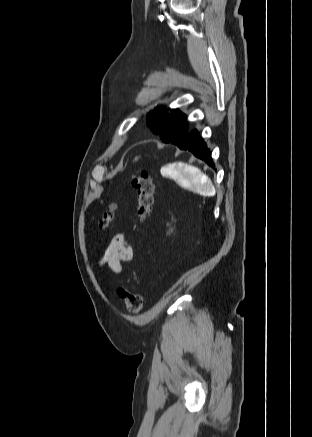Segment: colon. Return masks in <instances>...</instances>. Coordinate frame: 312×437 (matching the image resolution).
Here are the masks:
<instances>
[{
    "mask_svg": "<svg viewBox=\"0 0 312 437\" xmlns=\"http://www.w3.org/2000/svg\"><path fill=\"white\" fill-rule=\"evenodd\" d=\"M131 184L137 194V216L141 223H146L153 209L154 185L150 174L145 170L136 169L131 176ZM115 222V206L104 214L99 223L101 229H111ZM119 297L125 302L129 313H139L143 307L140 294L131 292L124 286L118 288Z\"/></svg>",
    "mask_w": 312,
    "mask_h": 437,
    "instance_id": "obj_1",
    "label": "colon"
}]
</instances>
